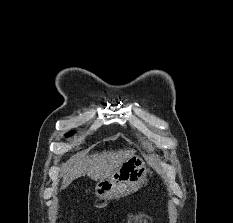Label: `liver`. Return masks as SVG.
<instances>
[{"instance_id": "6515ba94", "label": "liver", "mask_w": 233, "mask_h": 223, "mask_svg": "<svg viewBox=\"0 0 233 223\" xmlns=\"http://www.w3.org/2000/svg\"><path fill=\"white\" fill-rule=\"evenodd\" d=\"M131 153L133 151L130 149H120V151H101V153L96 151L91 155H84V153L72 155L61 167V171H63L61 189L70 185L81 175H88L91 179L98 181L101 177L112 173L118 167V163L124 161Z\"/></svg>"}]
</instances>
